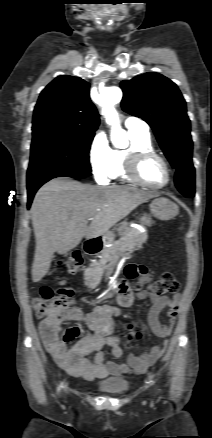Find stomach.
Returning a JSON list of instances; mask_svg holds the SVG:
<instances>
[{
    "instance_id": "1",
    "label": "stomach",
    "mask_w": 212,
    "mask_h": 438,
    "mask_svg": "<svg viewBox=\"0 0 212 438\" xmlns=\"http://www.w3.org/2000/svg\"><path fill=\"white\" fill-rule=\"evenodd\" d=\"M150 215L143 214L140 218V222L143 225L151 226L153 221L151 216L158 218L159 220H170L173 219L179 213L178 206L171 200L161 197L154 199L150 204ZM130 228H128L126 223H122L118 228V233L124 235ZM107 239L112 240L113 234L106 236Z\"/></svg>"
}]
</instances>
